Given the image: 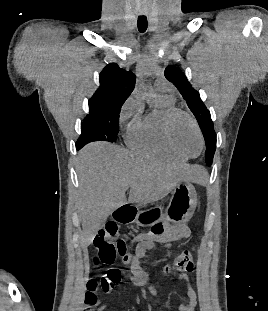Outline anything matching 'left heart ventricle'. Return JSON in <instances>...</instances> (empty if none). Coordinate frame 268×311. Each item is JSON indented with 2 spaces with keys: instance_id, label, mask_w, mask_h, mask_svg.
<instances>
[{
  "instance_id": "obj_1",
  "label": "left heart ventricle",
  "mask_w": 268,
  "mask_h": 311,
  "mask_svg": "<svg viewBox=\"0 0 268 311\" xmlns=\"http://www.w3.org/2000/svg\"><path fill=\"white\" fill-rule=\"evenodd\" d=\"M174 137L177 144L188 154L196 155L200 140L192 123L185 116H179L174 123Z\"/></svg>"
}]
</instances>
